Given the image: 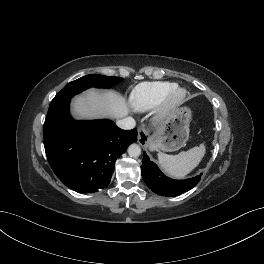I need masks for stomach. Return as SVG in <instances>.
<instances>
[{"mask_svg":"<svg viewBox=\"0 0 264 264\" xmlns=\"http://www.w3.org/2000/svg\"><path fill=\"white\" fill-rule=\"evenodd\" d=\"M191 110L177 108L165 121L161 129L150 140L151 151H176L186 145L189 138Z\"/></svg>","mask_w":264,"mask_h":264,"instance_id":"obj_1","label":"stomach"}]
</instances>
